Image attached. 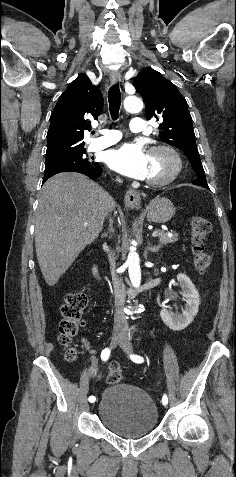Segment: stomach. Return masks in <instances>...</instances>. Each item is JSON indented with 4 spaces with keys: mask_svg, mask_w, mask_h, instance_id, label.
I'll list each match as a JSON object with an SVG mask.
<instances>
[{
    "mask_svg": "<svg viewBox=\"0 0 236 477\" xmlns=\"http://www.w3.org/2000/svg\"><path fill=\"white\" fill-rule=\"evenodd\" d=\"M145 211L150 222L164 224L174 216L175 207L168 198L157 197L148 204Z\"/></svg>",
    "mask_w": 236,
    "mask_h": 477,
    "instance_id": "stomach-1",
    "label": "stomach"
}]
</instances>
